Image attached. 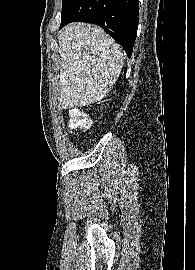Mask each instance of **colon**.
Wrapping results in <instances>:
<instances>
[{
    "label": "colon",
    "mask_w": 195,
    "mask_h": 270,
    "mask_svg": "<svg viewBox=\"0 0 195 270\" xmlns=\"http://www.w3.org/2000/svg\"><path fill=\"white\" fill-rule=\"evenodd\" d=\"M68 125L72 130H87L91 125V121L82 111L71 109Z\"/></svg>",
    "instance_id": "obj_1"
}]
</instances>
